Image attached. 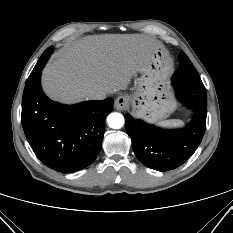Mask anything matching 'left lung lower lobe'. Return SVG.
Instances as JSON below:
<instances>
[{
    "label": "left lung lower lobe",
    "instance_id": "obj_1",
    "mask_svg": "<svg viewBox=\"0 0 233 233\" xmlns=\"http://www.w3.org/2000/svg\"><path fill=\"white\" fill-rule=\"evenodd\" d=\"M187 59L181 52L179 64L182 68L186 66ZM172 84L178 99L196 113L184 129H160L125 115V128L136 157L145 166L162 172L179 167L193 155L206 128V89L190 87L173 79Z\"/></svg>",
    "mask_w": 233,
    "mask_h": 233
}]
</instances>
